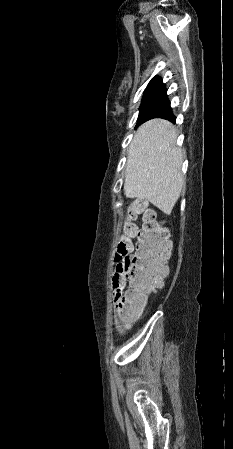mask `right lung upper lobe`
<instances>
[{"instance_id":"obj_1","label":"right lung upper lobe","mask_w":233,"mask_h":449,"mask_svg":"<svg viewBox=\"0 0 233 449\" xmlns=\"http://www.w3.org/2000/svg\"><path fill=\"white\" fill-rule=\"evenodd\" d=\"M156 91H166L165 85L162 83L160 77L155 76L148 84L144 93L156 92Z\"/></svg>"}]
</instances>
